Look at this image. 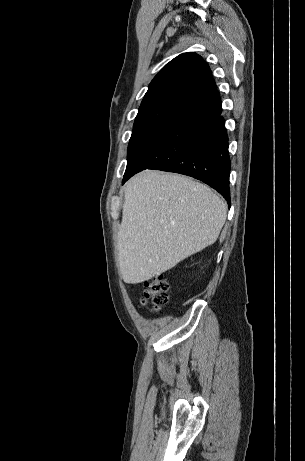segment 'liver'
Here are the masks:
<instances>
[{
	"label": "liver",
	"instance_id": "6515ba94",
	"mask_svg": "<svg viewBox=\"0 0 305 461\" xmlns=\"http://www.w3.org/2000/svg\"><path fill=\"white\" fill-rule=\"evenodd\" d=\"M227 216L222 198L191 178L155 170L125 186L118 231L125 283L138 284L216 242Z\"/></svg>",
	"mask_w": 305,
	"mask_h": 461
}]
</instances>
